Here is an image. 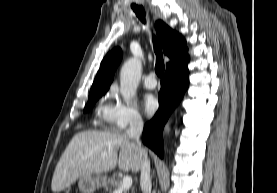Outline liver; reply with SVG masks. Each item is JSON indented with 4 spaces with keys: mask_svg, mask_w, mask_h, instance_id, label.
Returning <instances> with one entry per match:
<instances>
[{
    "mask_svg": "<svg viewBox=\"0 0 277 193\" xmlns=\"http://www.w3.org/2000/svg\"><path fill=\"white\" fill-rule=\"evenodd\" d=\"M117 163L119 169L124 171L137 172L141 167V152L127 135L102 131L79 132L72 138L55 168L51 189L60 192L78 178L108 172Z\"/></svg>",
    "mask_w": 277,
    "mask_h": 193,
    "instance_id": "6515ba94",
    "label": "liver"
}]
</instances>
